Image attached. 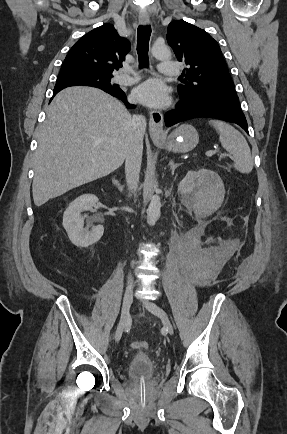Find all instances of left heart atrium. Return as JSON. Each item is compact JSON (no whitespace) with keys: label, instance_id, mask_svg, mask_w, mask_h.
<instances>
[{"label":"left heart atrium","instance_id":"obj_1","mask_svg":"<svg viewBox=\"0 0 287 434\" xmlns=\"http://www.w3.org/2000/svg\"><path fill=\"white\" fill-rule=\"evenodd\" d=\"M134 97L137 101L155 108L164 107L169 101L166 88L156 80H149L138 86Z\"/></svg>","mask_w":287,"mask_h":434}]
</instances>
